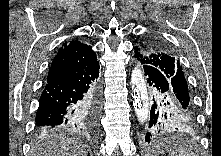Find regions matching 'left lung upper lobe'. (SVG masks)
I'll return each instance as SVG.
<instances>
[{"label":"left lung upper lobe","mask_w":221,"mask_h":156,"mask_svg":"<svg viewBox=\"0 0 221 156\" xmlns=\"http://www.w3.org/2000/svg\"><path fill=\"white\" fill-rule=\"evenodd\" d=\"M134 50L141 64L169 72L173 78L175 96L185 108L194 110L180 61L173 56L168 46L152 36L141 41Z\"/></svg>","instance_id":"1"}]
</instances>
